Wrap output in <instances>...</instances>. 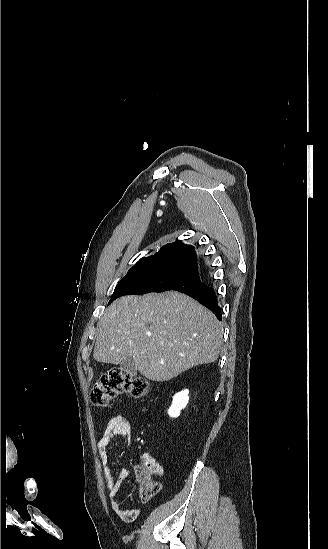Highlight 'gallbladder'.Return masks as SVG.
I'll return each mask as SVG.
<instances>
[{"label": "gallbladder", "mask_w": 328, "mask_h": 549, "mask_svg": "<svg viewBox=\"0 0 328 549\" xmlns=\"http://www.w3.org/2000/svg\"><path fill=\"white\" fill-rule=\"evenodd\" d=\"M120 369L121 371H124L126 375H129V377H136L137 367L134 357H127L125 361H122V363H120Z\"/></svg>", "instance_id": "obj_1"}]
</instances>
